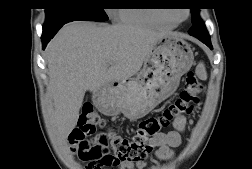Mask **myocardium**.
Wrapping results in <instances>:
<instances>
[{
    "mask_svg": "<svg viewBox=\"0 0 252 169\" xmlns=\"http://www.w3.org/2000/svg\"><path fill=\"white\" fill-rule=\"evenodd\" d=\"M189 14H190V10L186 9V17H185L184 20H186L189 17ZM160 17L165 19L166 21H169V22L173 23V24L181 23V22L184 21V20H176V19H174V18H172L170 16H166V15H161Z\"/></svg>",
    "mask_w": 252,
    "mask_h": 169,
    "instance_id": "1",
    "label": "myocardium"
}]
</instances>
